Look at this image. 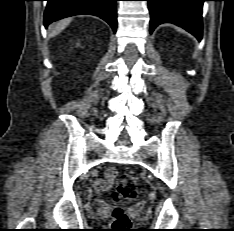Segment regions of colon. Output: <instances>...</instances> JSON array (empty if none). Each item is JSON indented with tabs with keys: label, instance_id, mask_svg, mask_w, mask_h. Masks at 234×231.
<instances>
[{
	"label": "colon",
	"instance_id": "1",
	"mask_svg": "<svg viewBox=\"0 0 234 231\" xmlns=\"http://www.w3.org/2000/svg\"><path fill=\"white\" fill-rule=\"evenodd\" d=\"M137 193V183L134 176L129 173H123L117 179L116 187L111 194V198L115 203H120L123 200L134 199ZM111 215L114 230H130L131 220L121 206H115Z\"/></svg>",
	"mask_w": 234,
	"mask_h": 231
}]
</instances>
